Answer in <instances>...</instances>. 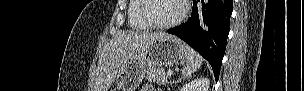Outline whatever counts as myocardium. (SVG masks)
<instances>
[{
  "label": "myocardium",
  "instance_id": "f54148a6",
  "mask_svg": "<svg viewBox=\"0 0 304 91\" xmlns=\"http://www.w3.org/2000/svg\"><path fill=\"white\" fill-rule=\"evenodd\" d=\"M149 1L150 0H141V9H140L141 19L149 28L156 29V30L170 29V28H173V27L179 25L187 16L188 9H189L188 2L186 0H179L181 3V6H182L179 16L168 23L156 24L149 19L148 14H147V10L149 7Z\"/></svg>",
  "mask_w": 304,
  "mask_h": 91
}]
</instances>
